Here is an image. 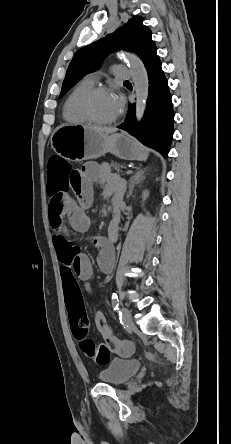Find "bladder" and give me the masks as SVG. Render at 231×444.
<instances>
[{
	"label": "bladder",
	"instance_id": "obj_1",
	"mask_svg": "<svg viewBox=\"0 0 231 444\" xmlns=\"http://www.w3.org/2000/svg\"><path fill=\"white\" fill-rule=\"evenodd\" d=\"M141 363L132 359L113 358L105 369L99 373V378L109 385H121L140 370Z\"/></svg>",
	"mask_w": 231,
	"mask_h": 444
}]
</instances>
